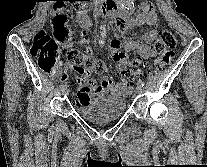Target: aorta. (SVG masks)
<instances>
[{
  "label": "aorta",
  "instance_id": "762f6f07",
  "mask_svg": "<svg viewBox=\"0 0 207 167\" xmlns=\"http://www.w3.org/2000/svg\"><path fill=\"white\" fill-rule=\"evenodd\" d=\"M127 10H134V0H120Z\"/></svg>",
  "mask_w": 207,
  "mask_h": 167
}]
</instances>
